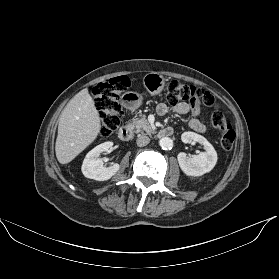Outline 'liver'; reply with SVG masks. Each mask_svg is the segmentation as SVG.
<instances>
[{
  "label": "liver",
  "mask_w": 279,
  "mask_h": 279,
  "mask_svg": "<svg viewBox=\"0 0 279 279\" xmlns=\"http://www.w3.org/2000/svg\"><path fill=\"white\" fill-rule=\"evenodd\" d=\"M101 118L87 89L77 93L59 117L58 136L55 144L59 163L67 164L97 138Z\"/></svg>",
  "instance_id": "obj_1"
}]
</instances>
